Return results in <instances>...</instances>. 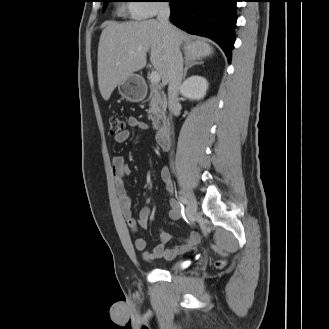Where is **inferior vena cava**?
Masks as SVG:
<instances>
[{"mask_svg": "<svg viewBox=\"0 0 329 329\" xmlns=\"http://www.w3.org/2000/svg\"><path fill=\"white\" fill-rule=\"evenodd\" d=\"M170 6L163 2L159 6L157 20L166 32L170 47L171 58L169 63L168 76V108L174 113L179 108L178 92L183 77V57L179 49V37L176 29L169 22Z\"/></svg>", "mask_w": 329, "mask_h": 329, "instance_id": "inferior-vena-cava-1", "label": "inferior vena cava"}]
</instances>
